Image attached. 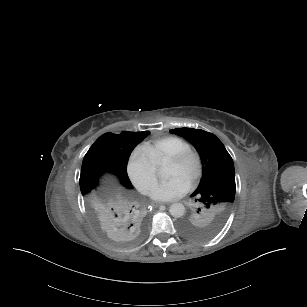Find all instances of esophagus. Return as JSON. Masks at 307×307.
<instances>
[{"mask_svg": "<svg viewBox=\"0 0 307 307\" xmlns=\"http://www.w3.org/2000/svg\"><path fill=\"white\" fill-rule=\"evenodd\" d=\"M151 205L154 206L155 208H157V207H160L162 204L157 203V202H153Z\"/></svg>", "mask_w": 307, "mask_h": 307, "instance_id": "esophagus-1", "label": "esophagus"}]
</instances>
